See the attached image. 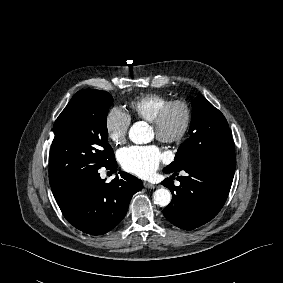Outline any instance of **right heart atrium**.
<instances>
[{
  "instance_id": "right-heart-atrium-1",
  "label": "right heart atrium",
  "mask_w": 283,
  "mask_h": 283,
  "mask_svg": "<svg viewBox=\"0 0 283 283\" xmlns=\"http://www.w3.org/2000/svg\"><path fill=\"white\" fill-rule=\"evenodd\" d=\"M131 119L128 114L119 108H112L105 118V130L109 140L120 145L126 141Z\"/></svg>"
}]
</instances>
